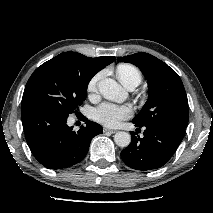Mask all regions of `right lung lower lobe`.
<instances>
[{
    "label": "right lung lower lobe",
    "mask_w": 213,
    "mask_h": 213,
    "mask_svg": "<svg viewBox=\"0 0 213 213\" xmlns=\"http://www.w3.org/2000/svg\"><path fill=\"white\" fill-rule=\"evenodd\" d=\"M22 124L27 144L44 167L63 169L79 163L87 154L92 138L103 132L92 121L73 131L67 117L35 103L23 104Z\"/></svg>",
    "instance_id": "98d812e1"
}]
</instances>
